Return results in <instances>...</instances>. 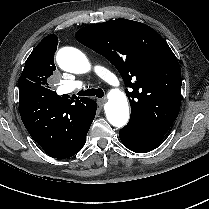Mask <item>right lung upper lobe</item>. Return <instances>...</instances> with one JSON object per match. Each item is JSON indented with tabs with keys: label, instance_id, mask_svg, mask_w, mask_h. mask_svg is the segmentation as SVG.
Listing matches in <instances>:
<instances>
[{
	"label": "right lung upper lobe",
	"instance_id": "obj_1",
	"mask_svg": "<svg viewBox=\"0 0 209 209\" xmlns=\"http://www.w3.org/2000/svg\"><path fill=\"white\" fill-rule=\"evenodd\" d=\"M57 45V36L55 34H50L46 36L35 48L50 46L57 49ZM56 97L58 101L65 106L67 111L63 112L60 117L55 120V124L70 128L75 136H79L87 132L96 114V102L89 98H76L75 100H69L64 96H58L57 94Z\"/></svg>",
	"mask_w": 209,
	"mask_h": 209
}]
</instances>
